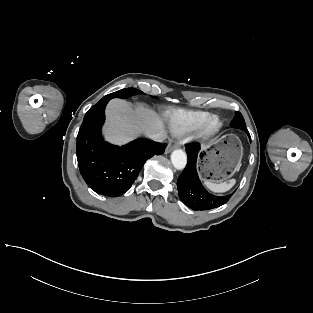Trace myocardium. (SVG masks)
Instances as JSON below:
<instances>
[{"label":"myocardium","mask_w":313,"mask_h":313,"mask_svg":"<svg viewBox=\"0 0 313 313\" xmlns=\"http://www.w3.org/2000/svg\"><path fill=\"white\" fill-rule=\"evenodd\" d=\"M222 127V121L218 116H210L197 131V138L206 141L215 136Z\"/></svg>","instance_id":"f54148a6"}]
</instances>
